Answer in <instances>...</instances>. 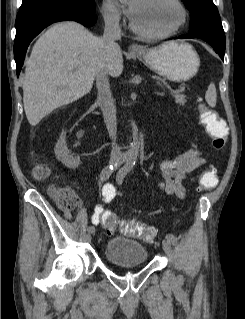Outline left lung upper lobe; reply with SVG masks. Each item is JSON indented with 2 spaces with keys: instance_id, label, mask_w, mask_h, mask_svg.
Instances as JSON below:
<instances>
[{
  "instance_id": "left-lung-upper-lobe-1",
  "label": "left lung upper lobe",
  "mask_w": 245,
  "mask_h": 319,
  "mask_svg": "<svg viewBox=\"0 0 245 319\" xmlns=\"http://www.w3.org/2000/svg\"><path fill=\"white\" fill-rule=\"evenodd\" d=\"M190 11L189 34L211 39L225 46V33L212 0H182Z\"/></svg>"
}]
</instances>
